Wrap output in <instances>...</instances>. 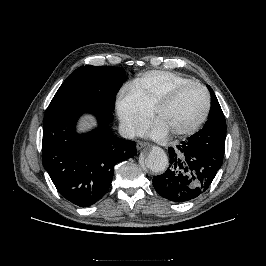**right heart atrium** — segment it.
<instances>
[{
	"label": "right heart atrium",
	"mask_w": 266,
	"mask_h": 266,
	"mask_svg": "<svg viewBox=\"0 0 266 266\" xmlns=\"http://www.w3.org/2000/svg\"><path fill=\"white\" fill-rule=\"evenodd\" d=\"M117 115L124 133L136 135L151 119L152 111L128 87L116 100Z\"/></svg>",
	"instance_id": "d8ad5b80"
}]
</instances>
